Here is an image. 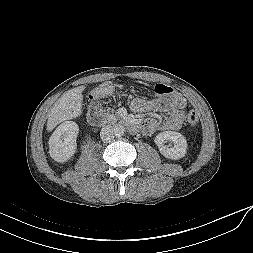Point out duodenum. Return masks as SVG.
Segmentation results:
<instances>
[{
    "label": "duodenum",
    "mask_w": 253,
    "mask_h": 253,
    "mask_svg": "<svg viewBox=\"0 0 253 253\" xmlns=\"http://www.w3.org/2000/svg\"><path fill=\"white\" fill-rule=\"evenodd\" d=\"M103 114L102 108L99 104L93 103L88 111V122L92 126H100L103 123ZM124 124L132 131L136 132L139 129V126L136 122L126 119L124 120Z\"/></svg>",
    "instance_id": "410a0bca"
}]
</instances>
